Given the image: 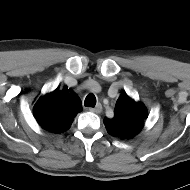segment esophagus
Instances as JSON below:
<instances>
[{
    "mask_svg": "<svg viewBox=\"0 0 190 190\" xmlns=\"http://www.w3.org/2000/svg\"><path fill=\"white\" fill-rule=\"evenodd\" d=\"M88 110L89 111H91V112H94V113H101L102 112V105L100 104V103H98L97 105H96V107H89L88 108Z\"/></svg>",
    "mask_w": 190,
    "mask_h": 190,
    "instance_id": "esophagus-1",
    "label": "esophagus"
}]
</instances>
